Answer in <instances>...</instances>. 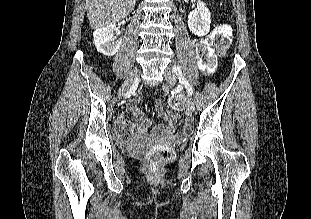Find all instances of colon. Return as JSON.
I'll list each match as a JSON object with an SVG mask.
<instances>
[{"label": "colon", "mask_w": 311, "mask_h": 219, "mask_svg": "<svg viewBox=\"0 0 311 219\" xmlns=\"http://www.w3.org/2000/svg\"><path fill=\"white\" fill-rule=\"evenodd\" d=\"M232 42V30L227 24H219L211 33L209 38L197 46V58L202 67L207 70L213 69L216 63V55L210 50V45L215 47L218 55L223 56L227 53ZM169 104L173 108H178L179 103L175 98L169 99ZM175 114L167 112V115ZM121 133L126 131L124 126L118 129ZM172 149L167 145H155L146 154V159L150 171L160 170L162 165L172 157Z\"/></svg>", "instance_id": "1"}]
</instances>
